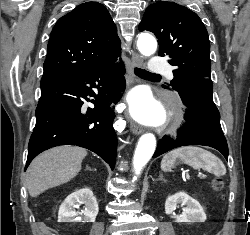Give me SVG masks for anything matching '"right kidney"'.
I'll list each match as a JSON object with an SVG mask.
<instances>
[{
    "instance_id": "obj_1",
    "label": "right kidney",
    "mask_w": 250,
    "mask_h": 235,
    "mask_svg": "<svg viewBox=\"0 0 250 235\" xmlns=\"http://www.w3.org/2000/svg\"><path fill=\"white\" fill-rule=\"evenodd\" d=\"M80 204H84V209L80 212L74 210ZM99 208L93 192L89 188H82L71 193L61 204L58 212V222H95Z\"/></svg>"
}]
</instances>
